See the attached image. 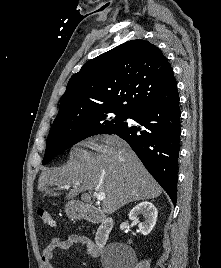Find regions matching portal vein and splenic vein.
<instances>
[{
    "instance_id": "portal-vein-and-splenic-vein-1",
    "label": "portal vein and splenic vein",
    "mask_w": 221,
    "mask_h": 268,
    "mask_svg": "<svg viewBox=\"0 0 221 268\" xmlns=\"http://www.w3.org/2000/svg\"><path fill=\"white\" fill-rule=\"evenodd\" d=\"M71 186L70 185H65L64 188L66 189H69ZM94 196L96 197V199L98 201H102L105 199V193L104 192H97V191H94L93 192Z\"/></svg>"
}]
</instances>
